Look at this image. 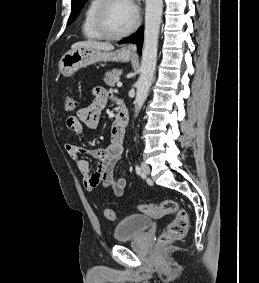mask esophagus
<instances>
[{"instance_id": "1", "label": "esophagus", "mask_w": 259, "mask_h": 283, "mask_svg": "<svg viewBox=\"0 0 259 283\" xmlns=\"http://www.w3.org/2000/svg\"><path fill=\"white\" fill-rule=\"evenodd\" d=\"M124 50L128 53L134 54L136 52V45L135 44H127L124 47Z\"/></svg>"}]
</instances>
